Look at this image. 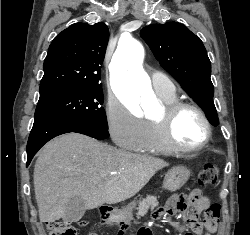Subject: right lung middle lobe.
I'll use <instances>...</instances> for the list:
<instances>
[{
  "mask_svg": "<svg viewBox=\"0 0 250 235\" xmlns=\"http://www.w3.org/2000/svg\"><path fill=\"white\" fill-rule=\"evenodd\" d=\"M101 86L62 91L40 97L35 119L65 117L108 129Z\"/></svg>",
  "mask_w": 250,
  "mask_h": 235,
  "instance_id": "right-lung-middle-lobe-1",
  "label": "right lung middle lobe"
}]
</instances>
